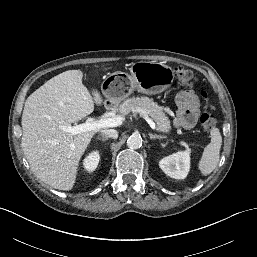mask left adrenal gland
Returning a JSON list of instances; mask_svg holds the SVG:
<instances>
[{
	"label": "left adrenal gland",
	"instance_id": "1",
	"mask_svg": "<svg viewBox=\"0 0 257 257\" xmlns=\"http://www.w3.org/2000/svg\"><path fill=\"white\" fill-rule=\"evenodd\" d=\"M149 137L151 140H154V139H163V138H166V136H162V135H153L151 133H149Z\"/></svg>",
	"mask_w": 257,
	"mask_h": 257
}]
</instances>
